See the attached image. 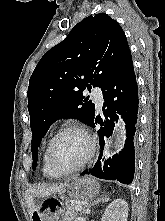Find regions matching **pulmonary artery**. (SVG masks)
Instances as JSON below:
<instances>
[{"instance_id":"obj_1","label":"pulmonary artery","mask_w":165,"mask_h":221,"mask_svg":"<svg viewBox=\"0 0 165 221\" xmlns=\"http://www.w3.org/2000/svg\"><path fill=\"white\" fill-rule=\"evenodd\" d=\"M93 97H94L96 107L100 110L102 108L103 102H104V97H103L102 91L100 89H95L93 91Z\"/></svg>"}]
</instances>
